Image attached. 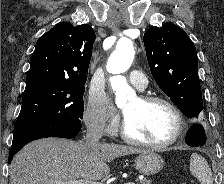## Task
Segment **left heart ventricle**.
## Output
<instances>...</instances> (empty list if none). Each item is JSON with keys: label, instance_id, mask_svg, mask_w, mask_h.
<instances>
[{"label": "left heart ventricle", "instance_id": "b2bd125f", "mask_svg": "<svg viewBox=\"0 0 224 184\" xmlns=\"http://www.w3.org/2000/svg\"><path fill=\"white\" fill-rule=\"evenodd\" d=\"M123 110L129 133L140 140L161 143L168 140L175 130V116L164 104H145L135 98Z\"/></svg>", "mask_w": 224, "mask_h": 184}]
</instances>
